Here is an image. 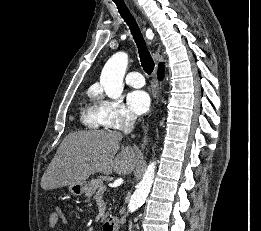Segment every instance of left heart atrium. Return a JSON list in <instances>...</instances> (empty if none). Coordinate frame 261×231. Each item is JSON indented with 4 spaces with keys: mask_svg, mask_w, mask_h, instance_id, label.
I'll list each match as a JSON object with an SVG mask.
<instances>
[{
    "mask_svg": "<svg viewBox=\"0 0 261 231\" xmlns=\"http://www.w3.org/2000/svg\"><path fill=\"white\" fill-rule=\"evenodd\" d=\"M127 103L135 114L142 115L150 108V97L143 90H134L127 95Z\"/></svg>",
    "mask_w": 261,
    "mask_h": 231,
    "instance_id": "left-heart-atrium-1",
    "label": "left heart atrium"
}]
</instances>
